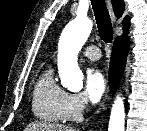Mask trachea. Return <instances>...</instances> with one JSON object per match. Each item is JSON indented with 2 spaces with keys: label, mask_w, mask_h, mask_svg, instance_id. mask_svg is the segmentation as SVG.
Listing matches in <instances>:
<instances>
[{
  "label": "trachea",
  "mask_w": 147,
  "mask_h": 131,
  "mask_svg": "<svg viewBox=\"0 0 147 131\" xmlns=\"http://www.w3.org/2000/svg\"><path fill=\"white\" fill-rule=\"evenodd\" d=\"M100 38L105 43L113 40V27L105 0H91Z\"/></svg>",
  "instance_id": "1"
}]
</instances>
